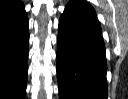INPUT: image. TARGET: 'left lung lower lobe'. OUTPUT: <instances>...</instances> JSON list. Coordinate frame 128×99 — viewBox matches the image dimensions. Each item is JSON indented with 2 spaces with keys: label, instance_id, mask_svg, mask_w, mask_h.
I'll list each match as a JSON object with an SVG mask.
<instances>
[{
  "label": "left lung lower lobe",
  "instance_id": "left-lung-lower-lobe-1",
  "mask_svg": "<svg viewBox=\"0 0 128 99\" xmlns=\"http://www.w3.org/2000/svg\"><path fill=\"white\" fill-rule=\"evenodd\" d=\"M107 63L95 10L71 0L59 20L57 75L60 99H107Z\"/></svg>",
  "mask_w": 128,
  "mask_h": 99
}]
</instances>
